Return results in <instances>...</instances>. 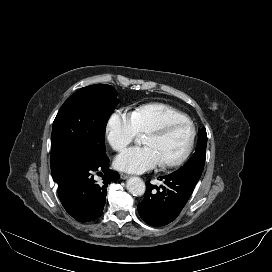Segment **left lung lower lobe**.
Wrapping results in <instances>:
<instances>
[{
    "label": "left lung lower lobe",
    "mask_w": 272,
    "mask_h": 272,
    "mask_svg": "<svg viewBox=\"0 0 272 272\" xmlns=\"http://www.w3.org/2000/svg\"><path fill=\"white\" fill-rule=\"evenodd\" d=\"M160 180L164 185L159 188L146 183L144 199L138 204L141 218L155 227L167 225L179 215L199 179L171 173Z\"/></svg>",
    "instance_id": "obj_1"
}]
</instances>
